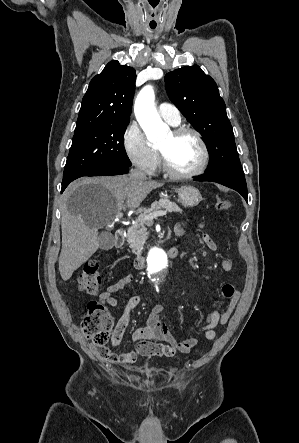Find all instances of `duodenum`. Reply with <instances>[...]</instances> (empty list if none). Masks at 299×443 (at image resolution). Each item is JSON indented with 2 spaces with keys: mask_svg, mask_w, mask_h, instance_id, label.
I'll use <instances>...</instances> for the list:
<instances>
[{
  "mask_svg": "<svg viewBox=\"0 0 299 443\" xmlns=\"http://www.w3.org/2000/svg\"><path fill=\"white\" fill-rule=\"evenodd\" d=\"M124 234H125V229L124 228H118L115 232V240H114V245L117 248H120L123 246L124 244ZM179 254V249L177 247H171L168 251H167V256L169 258H175L177 257ZM133 266L135 269H143L145 267V258L141 255H137L134 260H133Z\"/></svg>",
  "mask_w": 299,
  "mask_h": 443,
  "instance_id": "duodenum-1",
  "label": "duodenum"
}]
</instances>
